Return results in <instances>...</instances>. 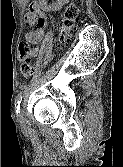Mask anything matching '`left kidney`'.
Returning <instances> with one entry per match:
<instances>
[{
  "label": "left kidney",
  "instance_id": "left-kidney-1",
  "mask_svg": "<svg viewBox=\"0 0 123 167\" xmlns=\"http://www.w3.org/2000/svg\"><path fill=\"white\" fill-rule=\"evenodd\" d=\"M68 0H58L56 4H54L52 7H50V9H58L59 7H61L64 3H66Z\"/></svg>",
  "mask_w": 123,
  "mask_h": 167
}]
</instances>
